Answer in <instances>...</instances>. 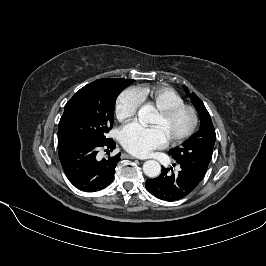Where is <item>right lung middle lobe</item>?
Here are the masks:
<instances>
[{"label":"right lung middle lobe","instance_id":"dd1d6c3e","mask_svg":"<svg viewBox=\"0 0 266 266\" xmlns=\"http://www.w3.org/2000/svg\"><path fill=\"white\" fill-rule=\"evenodd\" d=\"M133 79H101L81 88L65 105L58 142L72 139L104 142L114 123L116 98Z\"/></svg>","mask_w":266,"mask_h":266}]
</instances>
